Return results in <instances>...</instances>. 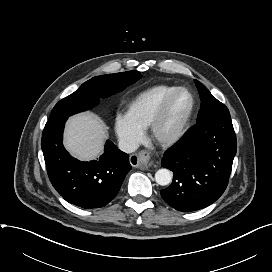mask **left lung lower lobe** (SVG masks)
<instances>
[{
  "label": "left lung lower lobe",
  "instance_id": "1",
  "mask_svg": "<svg viewBox=\"0 0 272 272\" xmlns=\"http://www.w3.org/2000/svg\"><path fill=\"white\" fill-rule=\"evenodd\" d=\"M237 141L230 116L191 127L162 158L174 176L162 198L179 211H196L214 203L225 191Z\"/></svg>",
  "mask_w": 272,
  "mask_h": 272
}]
</instances>
